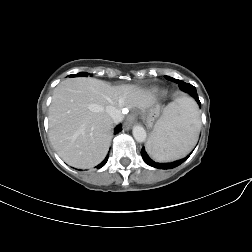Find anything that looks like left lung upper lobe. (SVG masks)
I'll return each instance as SVG.
<instances>
[{
  "label": "left lung upper lobe",
  "mask_w": 252,
  "mask_h": 252,
  "mask_svg": "<svg viewBox=\"0 0 252 252\" xmlns=\"http://www.w3.org/2000/svg\"><path fill=\"white\" fill-rule=\"evenodd\" d=\"M166 78H167V79H170V80H172V81H176V79H174V78H170V77H167V76H166Z\"/></svg>",
  "instance_id": "obj_1"
}]
</instances>
